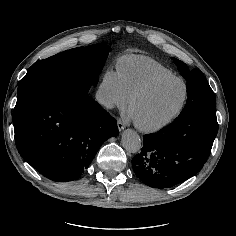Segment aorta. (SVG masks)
Returning <instances> with one entry per match:
<instances>
[{"instance_id":"obj_1","label":"aorta","mask_w":236,"mask_h":236,"mask_svg":"<svg viewBox=\"0 0 236 236\" xmlns=\"http://www.w3.org/2000/svg\"><path fill=\"white\" fill-rule=\"evenodd\" d=\"M122 146L129 153H137L140 151L142 142L138 133L132 129H127L122 133Z\"/></svg>"}]
</instances>
